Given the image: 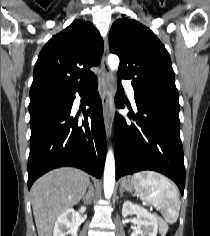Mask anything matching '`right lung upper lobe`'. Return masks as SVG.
I'll use <instances>...</instances> for the list:
<instances>
[{"label": "right lung upper lobe", "instance_id": "1", "mask_svg": "<svg viewBox=\"0 0 210 236\" xmlns=\"http://www.w3.org/2000/svg\"><path fill=\"white\" fill-rule=\"evenodd\" d=\"M103 40L98 30L82 20L73 21L41 50L34 67L30 98L41 89L71 92L87 85L100 63Z\"/></svg>", "mask_w": 210, "mask_h": 236}]
</instances>
